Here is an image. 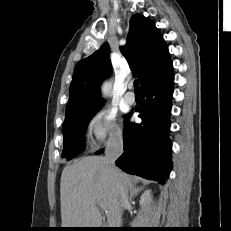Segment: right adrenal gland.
Returning <instances> with one entry per match:
<instances>
[{
	"mask_svg": "<svg viewBox=\"0 0 231 231\" xmlns=\"http://www.w3.org/2000/svg\"><path fill=\"white\" fill-rule=\"evenodd\" d=\"M142 191V188H139V187H131L130 188V201L132 200V198H134L135 196L138 195L139 192Z\"/></svg>",
	"mask_w": 231,
	"mask_h": 231,
	"instance_id": "obj_1",
	"label": "right adrenal gland"
}]
</instances>
